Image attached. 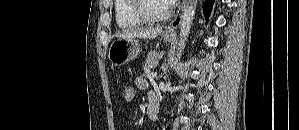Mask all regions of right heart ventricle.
<instances>
[{
  "mask_svg": "<svg viewBox=\"0 0 299 130\" xmlns=\"http://www.w3.org/2000/svg\"><path fill=\"white\" fill-rule=\"evenodd\" d=\"M134 0H115L114 13L117 25L122 29L144 26L147 22L139 18L133 8Z\"/></svg>",
  "mask_w": 299,
  "mask_h": 130,
  "instance_id": "e07e8e85",
  "label": "right heart ventricle"
}]
</instances>
